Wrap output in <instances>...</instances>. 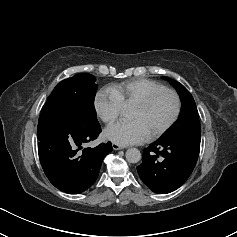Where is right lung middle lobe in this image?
Wrapping results in <instances>:
<instances>
[{
  "label": "right lung middle lobe",
  "mask_w": 237,
  "mask_h": 237,
  "mask_svg": "<svg viewBox=\"0 0 237 237\" xmlns=\"http://www.w3.org/2000/svg\"><path fill=\"white\" fill-rule=\"evenodd\" d=\"M88 73L76 74L57 84L42 107L41 114L60 117L77 127L99 125L94 108L98 85Z\"/></svg>",
  "instance_id": "dd1d6c3e"
}]
</instances>
